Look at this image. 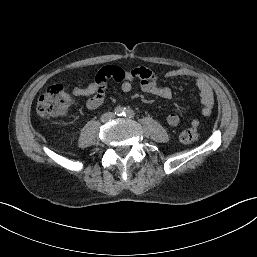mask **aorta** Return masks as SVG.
Wrapping results in <instances>:
<instances>
[{
	"label": "aorta",
	"instance_id": "762f6f07",
	"mask_svg": "<svg viewBox=\"0 0 257 257\" xmlns=\"http://www.w3.org/2000/svg\"><path fill=\"white\" fill-rule=\"evenodd\" d=\"M116 112H117L118 114L121 113V112H122V108L118 107V108L116 109Z\"/></svg>",
	"mask_w": 257,
	"mask_h": 257
}]
</instances>
